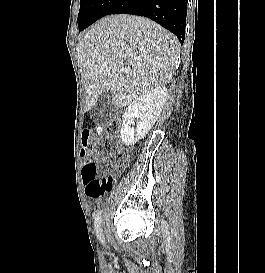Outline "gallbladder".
Segmentation results:
<instances>
[{
	"label": "gallbladder",
	"instance_id": "obj_1",
	"mask_svg": "<svg viewBox=\"0 0 265 273\" xmlns=\"http://www.w3.org/2000/svg\"><path fill=\"white\" fill-rule=\"evenodd\" d=\"M116 114L117 108L112 103V94L109 93H103L91 111L92 118L99 123L112 120Z\"/></svg>",
	"mask_w": 265,
	"mask_h": 273
}]
</instances>
